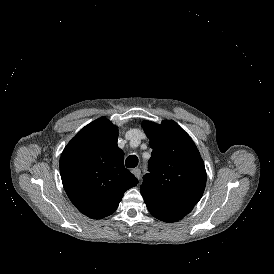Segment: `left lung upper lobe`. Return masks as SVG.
Segmentation results:
<instances>
[{
  "label": "left lung upper lobe",
  "mask_w": 274,
  "mask_h": 274,
  "mask_svg": "<svg viewBox=\"0 0 274 274\" xmlns=\"http://www.w3.org/2000/svg\"><path fill=\"white\" fill-rule=\"evenodd\" d=\"M142 126L153 149L149 173L140 187L143 198L189 213L206 185L205 166L197 147L172 120L160 125L144 121Z\"/></svg>",
  "instance_id": "obj_1"
}]
</instances>
